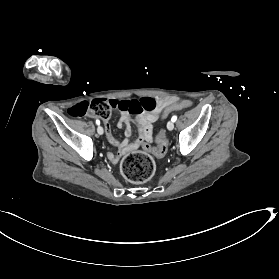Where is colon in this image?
Here are the masks:
<instances>
[{
    "instance_id": "1",
    "label": "colon",
    "mask_w": 279,
    "mask_h": 279,
    "mask_svg": "<svg viewBox=\"0 0 279 279\" xmlns=\"http://www.w3.org/2000/svg\"><path fill=\"white\" fill-rule=\"evenodd\" d=\"M156 100L151 97H142L130 100H106L94 99L90 102H81L69 109L73 117H83L88 114L108 119L112 110H120L130 114H140L145 111H153L156 108ZM190 101L184 100L168 105L163 116L173 111H179L191 107ZM156 146L146 151H134L127 154L121 162L123 176L133 183H144L152 178L155 172L153 157H163L168 149V140L164 131H160L155 137Z\"/></svg>"
}]
</instances>
